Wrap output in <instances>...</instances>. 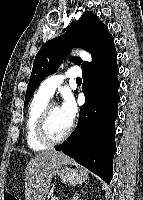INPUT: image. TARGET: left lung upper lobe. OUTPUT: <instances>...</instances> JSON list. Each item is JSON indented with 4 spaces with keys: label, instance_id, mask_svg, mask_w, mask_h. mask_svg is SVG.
I'll return each instance as SVG.
<instances>
[{
    "label": "left lung upper lobe",
    "instance_id": "1",
    "mask_svg": "<svg viewBox=\"0 0 143 200\" xmlns=\"http://www.w3.org/2000/svg\"><path fill=\"white\" fill-rule=\"evenodd\" d=\"M113 39L107 26L90 11L84 12L78 21H73L64 35L46 42L37 53L25 96L28 104L42 80L53 74L73 47L90 52L93 60L100 51ZM81 68L89 65L78 57L70 58Z\"/></svg>",
    "mask_w": 143,
    "mask_h": 200
}]
</instances>
